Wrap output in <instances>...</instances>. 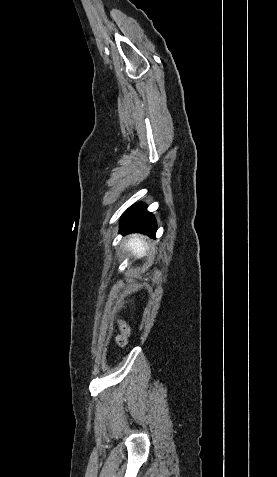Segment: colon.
<instances>
[{"instance_id":"obj_1","label":"colon","mask_w":277,"mask_h":477,"mask_svg":"<svg viewBox=\"0 0 277 477\" xmlns=\"http://www.w3.org/2000/svg\"><path fill=\"white\" fill-rule=\"evenodd\" d=\"M131 298L132 302L136 301V298L139 297L138 293H127L126 296H123L122 299L118 300V309L117 312L114 314V317L116 319V323L120 325L121 327V333L117 336L116 338V343L118 346H125L127 343V338L129 336L130 330L127 324L124 323V319L121 318V312L125 310V305L129 304V298Z\"/></svg>"}]
</instances>
